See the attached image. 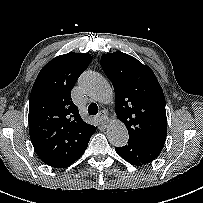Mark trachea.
I'll return each mask as SVG.
<instances>
[{
  "mask_svg": "<svg viewBox=\"0 0 203 203\" xmlns=\"http://www.w3.org/2000/svg\"><path fill=\"white\" fill-rule=\"evenodd\" d=\"M89 115H96L98 113V106L95 103H91L88 106Z\"/></svg>",
  "mask_w": 203,
  "mask_h": 203,
  "instance_id": "trachea-1",
  "label": "trachea"
}]
</instances>
